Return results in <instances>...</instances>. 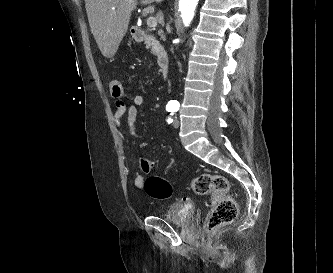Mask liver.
Returning <instances> with one entry per match:
<instances>
[{"label":"liver","instance_id":"liver-1","mask_svg":"<svg viewBox=\"0 0 333 273\" xmlns=\"http://www.w3.org/2000/svg\"><path fill=\"white\" fill-rule=\"evenodd\" d=\"M163 0H140L142 5ZM138 0H86L85 7L91 32L106 58H112L125 36L132 11ZM114 8V10H112Z\"/></svg>","mask_w":333,"mask_h":273}]
</instances>
